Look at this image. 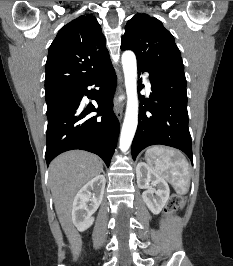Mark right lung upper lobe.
Masks as SVG:
<instances>
[{
  "label": "right lung upper lobe",
  "instance_id": "right-lung-upper-lobe-1",
  "mask_svg": "<svg viewBox=\"0 0 233 266\" xmlns=\"http://www.w3.org/2000/svg\"><path fill=\"white\" fill-rule=\"evenodd\" d=\"M102 29L93 15L62 27L49 47L46 93L74 90L111 63Z\"/></svg>",
  "mask_w": 233,
  "mask_h": 266
}]
</instances>
